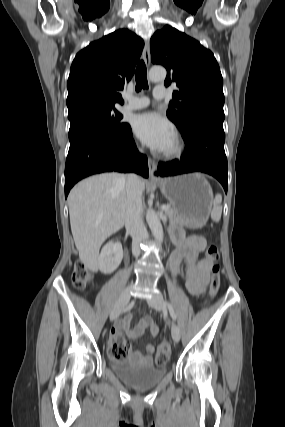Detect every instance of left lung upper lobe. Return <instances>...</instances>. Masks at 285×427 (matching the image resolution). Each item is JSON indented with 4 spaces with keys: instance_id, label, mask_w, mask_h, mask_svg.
<instances>
[{
    "instance_id": "obj_1",
    "label": "left lung upper lobe",
    "mask_w": 285,
    "mask_h": 427,
    "mask_svg": "<svg viewBox=\"0 0 285 427\" xmlns=\"http://www.w3.org/2000/svg\"><path fill=\"white\" fill-rule=\"evenodd\" d=\"M150 50L152 62L167 69L165 85L179 88L167 116L183 139L205 126L223 130V78L213 53L169 25L154 33Z\"/></svg>"
}]
</instances>
